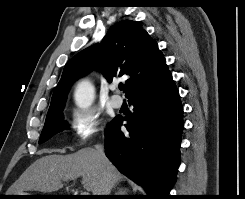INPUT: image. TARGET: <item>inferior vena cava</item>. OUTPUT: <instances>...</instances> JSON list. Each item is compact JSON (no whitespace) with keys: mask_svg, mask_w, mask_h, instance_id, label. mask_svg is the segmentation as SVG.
I'll use <instances>...</instances> for the list:
<instances>
[{"mask_svg":"<svg viewBox=\"0 0 245 199\" xmlns=\"http://www.w3.org/2000/svg\"><path fill=\"white\" fill-rule=\"evenodd\" d=\"M95 150L101 162L103 164H106L108 162V159L105 156L104 146L102 144H97L95 146ZM103 175L104 176H103L102 188H101L100 193H98V195H110V190H111L110 175L107 171H105Z\"/></svg>","mask_w":245,"mask_h":199,"instance_id":"602c4592","label":"inferior vena cava"}]
</instances>
